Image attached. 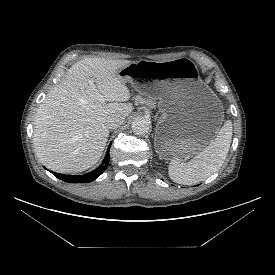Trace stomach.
Masks as SVG:
<instances>
[{
  "label": "stomach",
  "instance_id": "stomach-1",
  "mask_svg": "<svg viewBox=\"0 0 275 275\" xmlns=\"http://www.w3.org/2000/svg\"><path fill=\"white\" fill-rule=\"evenodd\" d=\"M119 76L142 95L159 99L162 113L156 148L166 159L189 158L208 145L223 122V106L200 79L193 61L140 60L119 70Z\"/></svg>",
  "mask_w": 275,
  "mask_h": 275
}]
</instances>
